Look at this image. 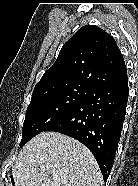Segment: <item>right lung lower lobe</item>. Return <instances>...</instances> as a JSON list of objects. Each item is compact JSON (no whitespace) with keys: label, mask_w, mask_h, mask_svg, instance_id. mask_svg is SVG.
I'll return each mask as SVG.
<instances>
[{"label":"right lung lower lobe","mask_w":138,"mask_h":186,"mask_svg":"<svg viewBox=\"0 0 138 186\" xmlns=\"http://www.w3.org/2000/svg\"><path fill=\"white\" fill-rule=\"evenodd\" d=\"M128 81L119 86L90 88L84 101L46 131L68 135L94 155L104 181L111 172L125 118Z\"/></svg>","instance_id":"1"}]
</instances>
